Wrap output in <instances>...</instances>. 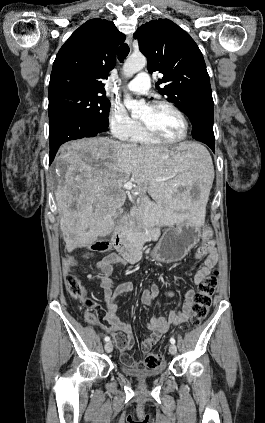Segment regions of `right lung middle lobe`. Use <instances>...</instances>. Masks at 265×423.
<instances>
[{
	"mask_svg": "<svg viewBox=\"0 0 265 423\" xmlns=\"http://www.w3.org/2000/svg\"><path fill=\"white\" fill-rule=\"evenodd\" d=\"M109 111V100L93 93L70 91L49 97V116L58 112L78 113L107 128Z\"/></svg>",
	"mask_w": 265,
	"mask_h": 423,
	"instance_id": "1",
	"label": "right lung middle lobe"
}]
</instances>
